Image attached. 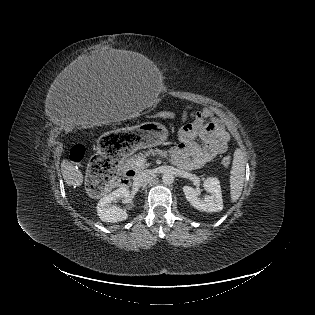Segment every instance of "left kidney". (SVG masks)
<instances>
[{
  "label": "left kidney",
  "instance_id": "left-kidney-1",
  "mask_svg": "<svg viewBox=\"0 0 315 315\" xmlns=\"http://www.w3.org/2000/svg\"><path fill=\"white\" fill-rule=\"evenodd\" d=\"M203 187L210 195L204 198L199 197V193L190 186H184L183 192L187 201L197 210L204 212H219L223 209V199L220 182L217 178L209 177Z\"/></svg>",
  "mask_w": 315,
  "mask_h": 315
}]
</instances>
